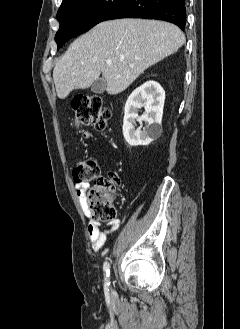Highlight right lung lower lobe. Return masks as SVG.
I'll use <instances>...</instances> for the list:
<instances>
[{
	"mask_svg": "<svg viewBox=\"0 0 240 329\" xmlns=\"http://www.w3.org/2000/svg\"><path fill=\"white\" fill-rule=\"evenodd\" d=\"M119 18L164 20L184 30L185 0H123L102 21Z\"/></svg>",
	"mask_w": 240,
	"mask_h": 329,
	"instance_id": "98d812e1",
	"label": "right lung lower lobe"
}]
</instances>
